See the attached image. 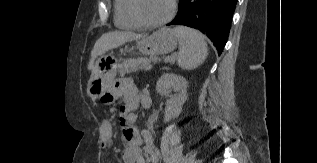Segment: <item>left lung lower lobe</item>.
I'll use <instances>...</instances> for the list:
<instances>
[{
  "instance_id": "obj_1",
  "label": "left lung lower lobe",
  "mask_w": 317,
  "mask_h": 163,
  "mask_svg": "<svg viewBox=\"0 0 317 163\" xmlns=\"http://www.w3.org/2000/svg\"><path fill=\"white\" fill-rule=\"evenodd\" d=\"M237 0H179V12L169 25L199 29L219 53L226 44Z\"/></svg>"
}]
</instances>
